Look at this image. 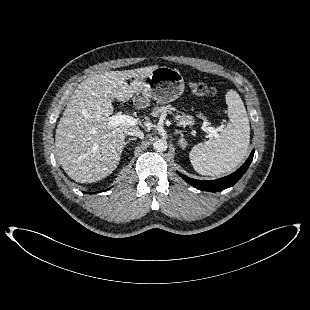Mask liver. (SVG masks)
<instances>
[{
	"mask_svg": "<svg viewBox=\"0 0 310 310\" xmlns=\"http://www.w3.org/2000/svg\"><path fill=\"white\" fill-rule=\"evenodd\" d=\"M157 66L109 71L82 81L68 102L55 135V151L68 176L80 183H93L118 166L126 133L135 125L110 126L116 98L126 102L143 86ZM134 78L130 85L127 79Z\"/></svg>",
	"mask_w": 310,
	"mask_h": 310,
	"instance_id": "1",
	"label": "liver"
}]
</instances>
